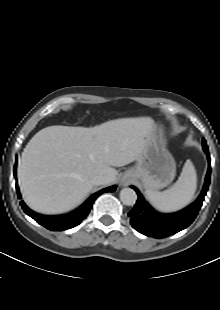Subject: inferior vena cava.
Wrapping results in <instances>:
<instances>
[{
  "label": "inferior vena cava",
  "mask_w": 220,
  "mask_h": 310,
  "mask_svg": "<svg viewBox=\"0 0 220 310\" xmlns=\"http://www.w3.org/2000/svg\"><path fill=\"white\" fill-rule=\"evenodd\" d=\"M108 181L107 177L102 175V174H98V175H95L92 179H91V182L93 185H103V184H106Z\"/></svg>",
  "instance_id": "602c4592"
}]
</instances>
